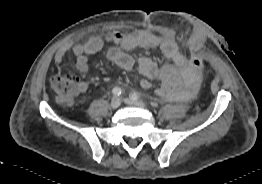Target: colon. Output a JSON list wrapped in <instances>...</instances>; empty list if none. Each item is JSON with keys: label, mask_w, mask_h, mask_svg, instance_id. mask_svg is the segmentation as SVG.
Listing matches in <instances>:
<instances>
[{"label": "colon", "mask_w": 262, "mask_h": 184, "mask_svg": "<svg viewBox=\"0 0 262 184\" xmlns=\"http://www.w3.org/2000/svg\"><path fill=\"white\" fill-rule=\"evenodd\" d=\"M189 66L196 71L203 72L206 68L204 60L190 52L188 57ZM50 84L52 89L63 102H73L75 96L79 93V82L75 76L71 74H58L51 78Z\"/></svg>", "instance_id": "obj_1"}]
</instances>
